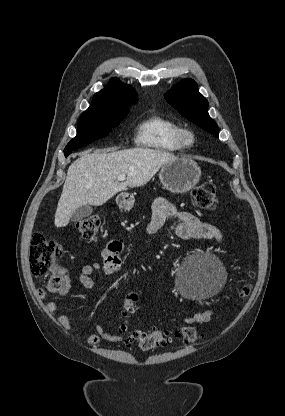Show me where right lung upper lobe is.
<instances>
[{
    "instance_id": "obj_1",
    "label": "right lung upper lobe",
    "mask_w": 285,
    "mask_h": 416,
    "mask_svg": "<svg viewBox=\"0 0 285 416\" xmlns=\"http://www.w3.org/2000/svg\"><path fill=\"white\" fill-rule=\"evenodd\" d=\"M137 93L130 85L112 78L108 86L97 92L89 109H119L129 107L137 102Z\"/></svg>"
}]
</instances>
